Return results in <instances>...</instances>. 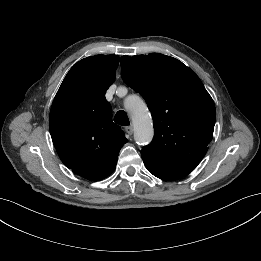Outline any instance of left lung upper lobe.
Masks as SVG:
<instances>
[{
  "label": "left lung upper lobe",
  "mask_w": 261,
  "mask_h": 261,
  "mask_svg": "<svg viewBox=\"0 0 261 261\" xmlns=\"http://www.w3.org/2000/svg\"><path fill=\"white\" fill-rule=\"evenodd\" d=\"M123 81L140 93L152 114L155 136L143 160L193 171L205 156L216 120L214 102L198 76L181 61L159 53L122 56Z\"/></svg>",
  "instance_id": "5c2ea615"
}]
</instances>
